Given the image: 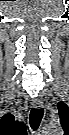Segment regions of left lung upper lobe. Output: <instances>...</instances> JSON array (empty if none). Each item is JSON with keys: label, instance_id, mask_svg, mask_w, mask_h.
I'll list each match as a JSON object with an SVG mask.
<instances>
[{"label": "left lung upper lobe", "instance_id": "obj_1", "mask_svg": "<svg viewBox=\"0 0 69 135\" xmlns=\"http://www.w3.org/2000/svg\"><path fill=\"white\" fill-rule=\"evenodd\" d=\"M57 107H58V110H59L61 121H62V119L69 116V107L65 103L60 102V103H58Z\"/></svg>", "mask_w": 69, "mask_h": 135}]
</instances>
